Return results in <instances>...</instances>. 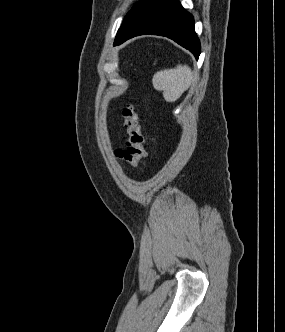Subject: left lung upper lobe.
<instances>
[{
    "mask_svg": "<svg viewBox=\"0 0 285 332\" xmlns=\"http://www.w3.org/2000/svg\"><path fill=\"white\" fill-rule=\"evenodd\" d=\"M151 2V0H140L137 4H135L132 9L126 15L121 27L118 30L116 35L119 36L128 25L138 16V14Z\"/></svg>",
    "mask_w": 285,
    "mask_h": 332,
    "instance_id": "1",
    "label": "left lung upper lobe"
}]
</instances>
